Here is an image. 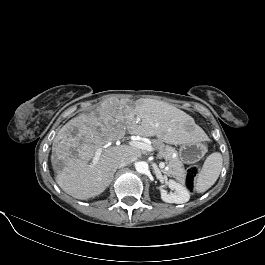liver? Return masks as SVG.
Here are the masks:
<instances>
[{"mask_svg":"<svg viewBox=\"0 0 265 265\" xmlns=\"http://www.w3.org/2000/svg\"><path fill=\"white\" fill-rule=\"evenodd\" d=\"M126 129L174 145L194 140L198 132L188 114L168 103L144 99L132 104L107 99L96 111L68 121L54 138L51 162L61 189L80 200L101 194L110 185L122 158L141 156L138 148L128 145L105 147L122 139ZM99 147H104L103 152L92 166L89 162Z\"/></svg>","mask_w":265,"mask_h":265,"instance_id":"liver-1","label":"liver"}]
</instances>
